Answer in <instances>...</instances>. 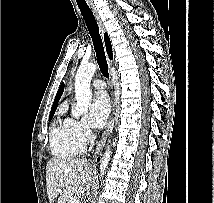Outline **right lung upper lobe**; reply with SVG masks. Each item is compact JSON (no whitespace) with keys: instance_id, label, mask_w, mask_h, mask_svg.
Here are the masks:
<instances>
[{"instance_id":"right-lung-upper-lobe-1","label":"right lung upper lobe","mask_w":214,"mask_h":203,"mask_svg":"<svg viewBox=\"0 0 214 203\" xmlns=\"http://www.w3.org/2000/svg\"><path fill=\"white\" fill-rule=\"evenodd\" d=\"M104 39H105V45H106V50H107V53L109 55V58L112 59L113 55H112V46H111V42H110V39L107 35V33H105V36H104ZM63 90H64V83H62L58 89V92L55 96V99H54V102H53V105H52V108H51V112H50V115H54L55 111H56V108H57V104L60 100V97L63 93Z\"/></svg>"}]
</instances>
